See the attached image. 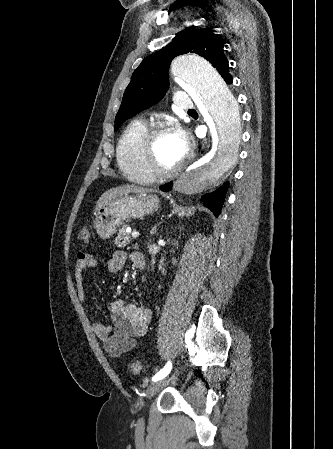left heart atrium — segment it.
I'll return each instance as SVG.
<instances>
[{
    "label": "left heart atrium",
    "mask_w": 333,
    "mask_h": 449,
    "mask_svg": "<svg viewBox=\"0 0 333 449\" xmlns=\"http://www.w3.org/2000/svg\"><path fill=\"white\" fill-rule=\"evenodd\" d=\"M178 149L182 156H185L188 151V141L184 131L176 130L173 132Z\"/></svg>",
    "instance_id": "39dd6f15"
}]
</instances>
